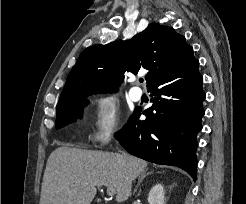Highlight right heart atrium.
<instances>
[{
    "instance_id": "obj_1",
    "label": "right heart atrium",
    "mask_w": 246,
    "mask_h": 204,
    "mask_svg": "<svg viewBox=\"0 0 246 204\" xmlns=\"http://www.w3.org/2000/svg\"><path fill=\"white\" fill-rule=\"evenodd\" d=\"M121 123L120 109L116 99L109 94L96 96L93 100L92 141L99 146L106 145L117 135Z\"/></svg>"
}]
</instances>
